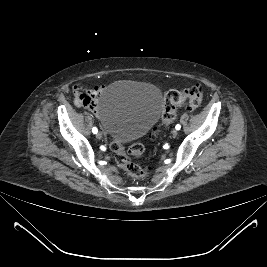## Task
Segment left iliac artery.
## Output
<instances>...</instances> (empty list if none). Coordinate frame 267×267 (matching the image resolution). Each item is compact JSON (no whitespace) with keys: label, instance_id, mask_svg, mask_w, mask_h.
<instances>
[{"label":"left iliac artery","instance_id":"1","mask_svg":"<svg viewBox=\"0 0 267 267\" xmlns=\"http://www.w3.org/2000/svg\"><path fill=\"white\" fill-rule=\"evenodd\" d=\"M175 128H176V130H179V129L181 128V126H180L179 124H177V125L175 126Z\"/></svg>","mask_w":267,"mask_h":267}]
</instances>
